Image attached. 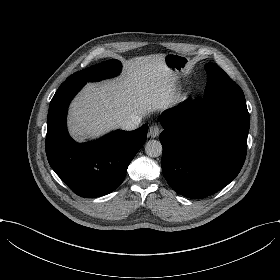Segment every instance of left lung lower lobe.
<instances>
[{"instance_id":"obj_1","label":"left lung lower lobe","mask_w":280,"mask_h":280,"mask_svg":"<svg viewBox=\"0 0 280 280\" xmlns=\"http://www.w3.org/2000/svg\"><path fill=\"white\" fill-rule=\"evenodd\" d=\"M162 172L177 193L205 198L229 184L246 157L249 113L239 85L164 111Z\"/></svg>"}]
</instances>
